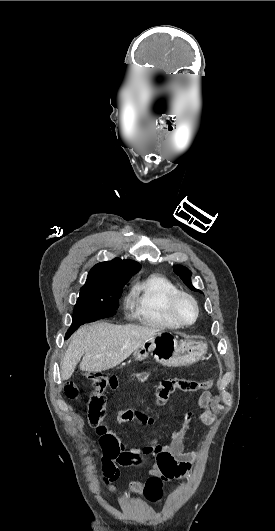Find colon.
Wrapping results in <instances>:
<instances>
[{"label": "colon", "instance_id": "colon-1", "mask_svg": "<svg viewBox=\"0 0 275 531\" xmlns=\"http://www.w3.org/2000/svg\"><path fill=\"white\" fill-rule=\"evenodd\" d=\"M100 373H87L82 378V385L89 390L92 396L88 403V411L92 417V426H97L105 420L107 411L110 408L106 384L109 377L113 375L98 376ZM211 389V383L208 380H194L184 377H169L158 381L156 391H152L151 400L157 405L162 406L168 402L170 397L176 392H207ZM79 387L74 383L64 386V393L69 398H76L79 394ZM149 483L145 485L144 495L151 502L156 501L160 496V489L163 486L159 476L152 474L148 478Z\"/></svg>", "mask_w": 275, "mask_h": 531}]
</instances>
